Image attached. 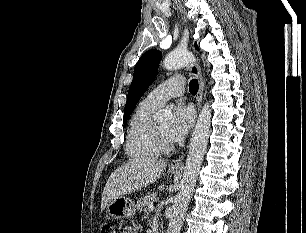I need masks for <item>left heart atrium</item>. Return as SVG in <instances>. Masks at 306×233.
Instances as JSON below:
<instances>
[{"label":"left heart atrium","instance_id":"obj_1","mask_svg":"<svg viewBox=\"0 0 306 233\" xmlns=\"http://www.w3.org/2000/svg\"><path fill=\"white\" fill-rule=\"evenodd\" d=\"M194 117L193 108L184 102H179L174 108V119L168 132V138L174 142L183 140L192 127Z\"/></svg>","mask_w":306,"mask_h":233}]
</instances>
